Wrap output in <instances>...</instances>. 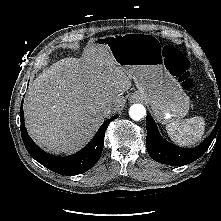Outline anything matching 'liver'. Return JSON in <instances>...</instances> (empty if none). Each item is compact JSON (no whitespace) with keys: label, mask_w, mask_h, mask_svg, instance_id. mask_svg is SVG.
Listing matches in <instances>:
<instances>
[{"label":"liver","mask_w":221,"mask_h":221,"mask_svg":"<svg viewBox=\"0 0 221 221\" xmlns=\"http://www.w3.org/2000/svg\"><path fill=\"white\" fill-rule=\"evenodd\" d=\"M130 79L107 46L90 40L81 59H61L31 83L24 100L29 135L48 151L76 152L107 117V105L124 106Z\"/></svg>","instance_id":"1"}]
</instances>
